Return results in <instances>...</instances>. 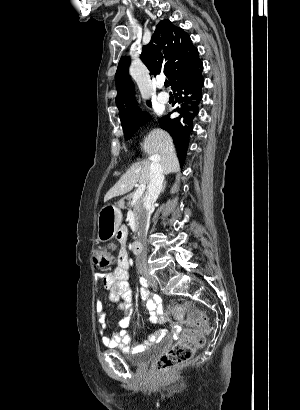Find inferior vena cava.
Wrapping results in <instances>:
<instances>
[{
	"mask_svg": "<svg viewBox=\"0 0 300 410\" xmlns=\"http://www.w3.org/2000/svg\"><path fill=\"white\" fill-rule=\"evenodd\" d=\"M164 181V171L160 163L156 160H152L150 164V178L147 186V191L144 197L143 210L139 215L140 228L139 241L144 243L146 241L147 230L150 223V216L154 211L155 202L162 190V184ZM140 253L136 257V267L139 271L147 269V253L144 249L140 250Z\"/></svg>",
	"mask_w": 300,
	"mask_h": 410,
	"instance_id": "inferior-vena-cava-1",
	"label": "inferior vena cava"
}]
</instances>
